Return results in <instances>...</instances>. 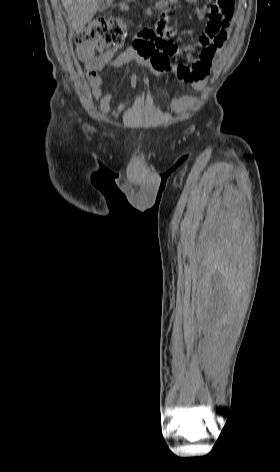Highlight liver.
Returning <instances> with one entry per match:
<instances>
[{
  "instance_id": "obj_1",
  "label": "liver",
  "mask_w": 280,
  "mask_h": 472,
  "mask_svg": "<svg viewBox=\"0 0 280 472\" xmlns=\"http://www.w3.org/2000/svg\"><path fill=\"white\" fill-rule=\"evenodd\" d=\"M67 21L76 32H81L98 9V0H62Z\"/></svg>"
}]
</instances>
